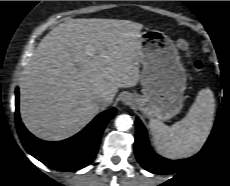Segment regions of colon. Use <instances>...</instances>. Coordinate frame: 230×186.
<instances>
[{
    "label": "colon",
    "mask_w": 230,
    "mask_h": 186,
    "mask_svg": "<svg viewBox=\"0 0 230 186\" xmlns=\"http://www.w3.org/2000/svg\"><path fill=\"white\" fill-rule=\"evenodd\" d=\"M178 47L184 51L187 55H190V45L189 42L185 39H180L178 40ZM193 67L195 69L196 72L200 73L204 70V64L202 61H195L193 63Z\"/></svg>",
    "instance_id": "1"
}]
</instances>
